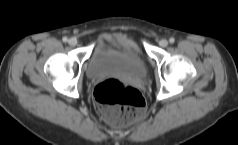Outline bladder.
I'll return each mask as SVG.
<instances>
[{"label": "bladder", "instance_id": "obj_1", "mask_svg": "<svg viewBox=\"0 0 238 145\" xmlns=\"http://www.w3.org/2000/svg\"><path fill=\"white\" fill-rule=\"evenodd\" d=\"M130 51L109 48L106 44L97 47L86 64V74L97 79L107 74H119L133 79L145 78L148 66L145 58L135 48L137 44L128 36H123Z\"/></svg>", "mask_w": 238, "mask_h": 145}]
</instances>
